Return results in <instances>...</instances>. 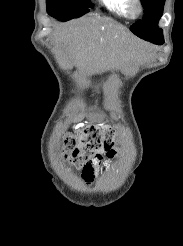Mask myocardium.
<instances>
[{"instance_id": "1", "label": "myocardium", "mask_w": 183, "mask_h": 246, "mask_svg": "<svg viewBox=\"0 0 183 246\" xmlns=\"http://www.w3.org/2000/svg\"><path fill=\"white\" fill-rule=\"evenodd\" d=\"M128 17L137 19L143 13V6L140 0H127L126 6Z\"/></svg>"}]
</instances>
